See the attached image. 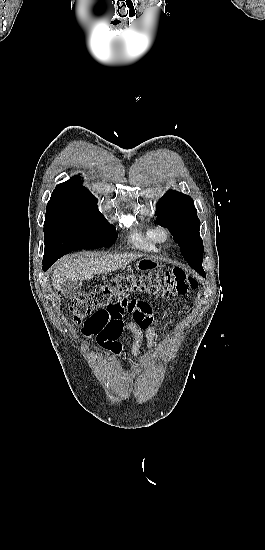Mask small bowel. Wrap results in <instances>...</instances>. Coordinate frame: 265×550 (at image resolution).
<instances>
[{
	"label": "small bowel",
	"instance_id": "1",
	"mask_svg": "<svg viewBox=\"0 0 265 550\" xmlns=\"http://www.w3.org/2000/svg\"><path fill=\"white\" fill-rule=\"evenodd\" d=\"M137 311L143 315L145 320L149 321V324L144 327H140L135 323H127L123 325L121 318L115 320L114 323L118 326L115 336L112 339H103V343L111 353L115 355L121 354L122 345L118 339L124 332H130L133 335L134 341L131 348V354L134 358L140 357L141 346L144 339L146 340V348H153L156 334L152 324L153 318L151 316L150 307L148 304L143 303ZM82 334L85 338H90L95 335L87 327L82 328Z\"/></svg>",
	"mask_w": 265,
	"mask_h": 550
}]
</instances>
